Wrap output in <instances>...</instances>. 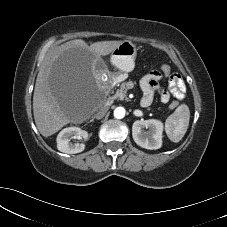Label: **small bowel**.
<instances>
[{
	"label": "small bowel",
	"mask_w": 227,
	"mask_h": 227,
	"mask_svg": "<svg viewBox=\"0 0 227 227\" xmlns=\"http://www.w3.org/2000/svg\"><path fill=\"white\" fill-rule=\"evenodd\" d=\"M161 79L162 74L157 70L149 72L141 79L140 86L143 91L141 104L143 106L147 107L152 104L156 91L160 92V99L163 103H167L171 96L179 100L184 98L186 87L179 74L173 73L169 76L168 89L161 87Z\"/></svg>",
	"instance_id": "obj_1"
}]
</instances>
